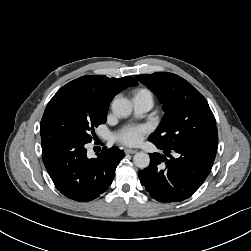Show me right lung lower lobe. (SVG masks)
I'll list each match as a JSON object with an SVG mask.
<instances>
[{
    "mask_svg": "<svg viewBox=\"0 0 251 251\" xmlns=\"http://www.w3.org/2000/svg\"><path fill=\"white\" fill-rule=\"evenodd\" d=\"M41 144L45 167L56 188L80 202L93 200L107 190L125 156L122 150L112 147L89 159L87 143L65 135L41 137Z\"/></svg>",
    "mask_w": 251,
    "mask_h": 251,
    "instance_id": "98d812e1",
    "label": "right lung lower lobe"
}]
</instances>
